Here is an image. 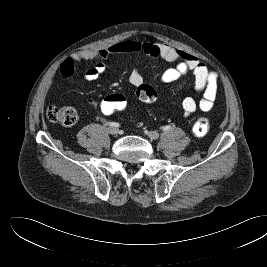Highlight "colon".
<instances>
[{
    "label": "colon",
    "instance_id": "colon-1",
    "mask_svg": "<svg viewBox=\"0 0 267 267\" xmlns=\"http://www.w3.org/2000/svg\"><path fill=\"white\" fill-rule=\"evenodd\" d=\"M156 96L155 90L147 84H141L137 88V97L144 103L154 102ZM131 105V101L126 95L116 92L102 98L99 103V110L104 115H113L128 111ZM46 114L51 122L63 126H72L78 119L75 109L69 106H49ZM209 128V120L206 117H200L194 122L192 131L195 136L202 137L208 133Z\"/></svg>",
    "mask_w": 267,
    "mask_h": 267
}]
</instances>
